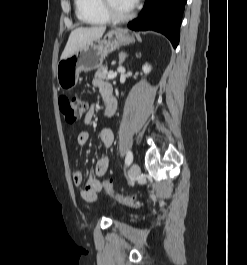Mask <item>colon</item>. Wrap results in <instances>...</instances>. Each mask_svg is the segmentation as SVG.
Segmentation results:
<instances>
[{"label": "colon", "instance_id": "1", "mask_svg": "<svg viewBox=\"0 0 247 265\" xmlns=\"http://www.w3.org/2000/svg\"><path fill=\"white\" fill-rule=\"evenodd\" d=\"M58 104L61 113L69 123L79 120L86 110V102L79 96H62L59 98ZM101 184L103 189L121 204L131 208L141 207L142 203L140 201L116 191L111 181L103 180Z\"/></svg>", "mask_w": 247, "mask_h": 265}]
</instances>
